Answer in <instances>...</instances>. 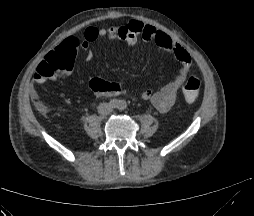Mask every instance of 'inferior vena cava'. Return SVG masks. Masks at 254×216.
I'll return each mask as SVG.
<instances>
[{"mask_svg": "<svg viewBox=\"0 0 254 216\" xmlns=\"http://www.w3.org/2000/svg\"><path fill=\"white\" fill-rule=\"evenodd\" d=\"M112 112V107L108 103H101L98 106V113L101 115H108Z\"/></svg>", "mask_w": 254, "mask_h": 216, "instance_id": "inferior-vena-cava-1", "label": "inferior vena cava"}]
</instances>
